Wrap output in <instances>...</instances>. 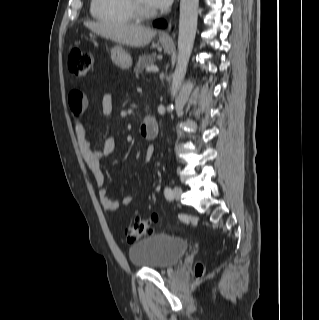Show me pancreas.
Segmentation results:
<instances>
[{
  "label": "pancreas",
  "mask_w": 319,
  "mask_h": 320,
  "mask_svg": "<svg viewBox=\"0 0 319 320\" xmlns=\"http://www.w3.org/2000/svg\"><path fill=\"white\" fill-rule=\"evenodd\" d=\"M156 61V54H150V55H142L139 57L138 62L136 64V67L134 68V72L138 74L142 71V69L150 67L154 65Z\"/></svg>",
  "instance_id": "obj_1"
}]
</instances>
